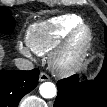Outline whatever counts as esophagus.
Segmentation results:
<instances>
[{
  "label": "esophagus",
  "mask_w": 107,
  "mask_h": 107,
  "mask_svg": "<svg viewBox=\"0 0 107 107\" xmlns=\"http://www.w3.org/2000/svg\"><path fill=\"white\" fill-rule=\"evenodd\" d=\"M48 80H50V77L46 73L41 72L39 75V81L44 82V81H48Z\"/></svg>",
  "instance_id": "1"
}]
</instances>
